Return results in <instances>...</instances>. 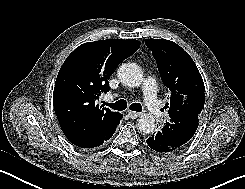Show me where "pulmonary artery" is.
<instances>
[{
	"mask_svg": "<svg viewBox=\"0 0 245 189\" xmlns=\"http://www.w3.org/2000/svg\"><path fill=\"white\" fill-rule=\"evenodd\" d=\"M143 85L146 87L145 90L146 104L150 107L152 111L157 112V102L155 98L156 82L154 78H152L151 76H147L143 81Z\"/></svg>",
	"mask_w": 245,
	"mask_h": 189,
	"instance_id": "pulmonary-artery-1",
	"label": "pulmonary artery"
}]
</instances>
